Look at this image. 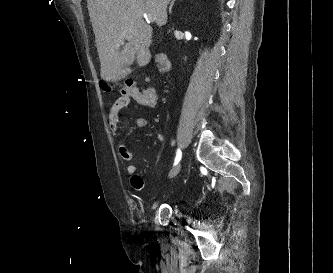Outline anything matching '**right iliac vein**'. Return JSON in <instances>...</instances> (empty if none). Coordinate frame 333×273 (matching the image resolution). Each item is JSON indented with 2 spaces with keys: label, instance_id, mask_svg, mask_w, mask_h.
I'll use <instances>...</instances> for the list:
<instances>
[{
  "label": "right iliac vein",
  "instance_id": "1",
  "mask_svg": "<svg viewBox=\"0 0 333 273\" xmlns=\"http://www.w3.org/2000/svg\"><path fill=\"white\" fill-rule=\"evenodd\" d=\"M181 165L177 164L169 173V178H174L175 176L178 175L179 171H180Z\"/></svg>",
  "mask_w": 333,
  "mask_h": 273
}]
</instances>
